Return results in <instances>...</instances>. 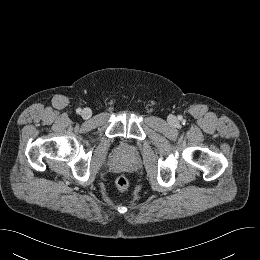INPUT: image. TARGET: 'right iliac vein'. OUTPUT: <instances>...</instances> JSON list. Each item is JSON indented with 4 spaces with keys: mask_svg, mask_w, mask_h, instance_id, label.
Here are the masks:
<instances>
[{
    "mask_svg": "<svg viewBox=\"0 0 260 260\" xmlns=\"http://www.w3.org/2000/svg\"><path fill=\"white\" fill-rule=\"evenodd\" d=\"M81 116L83 119H89L92 116V111L89 108H85L81 112Z\"/></svg>",
    "mask_w": 260,
    "mask_h": 260,
    "instance_id": "63e3f726",
    "label": "right iliac vein"
}]
</instances>
